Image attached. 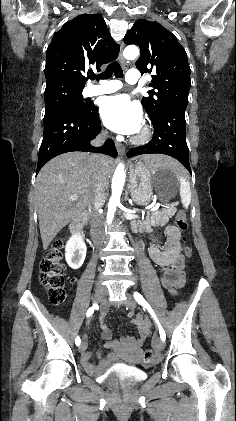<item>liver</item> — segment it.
<instances>
[{"mask_svg": "<svg viewBox=\"0 0 236 421\" xmlns=\"http://www.w3.org/2000/svg\"><path fill=\"white\" fill-rule=\"evenodd\" d=\"M142 158L147 166L176 162L179 170V162L171 156L142 154ZM95 166H99L101 178L108 186L114 160L105 154L93 158L87 152H64L42 166L36 178L35 196L44 251L59 231L84 213L90 204L96 182ZM72 194H77V200H72Z\"/></svg>", "mask_w": 236, "mask_h": 421, "instance_id": "obj_1", "label": "liver"}]
</instances>
